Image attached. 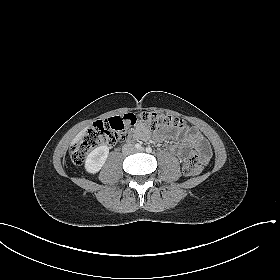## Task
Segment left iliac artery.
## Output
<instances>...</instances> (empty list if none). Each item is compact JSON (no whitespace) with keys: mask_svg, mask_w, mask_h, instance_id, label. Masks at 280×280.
<instances>
[{"mask_svg":"<svg viewBox=\"0 0 280 280\" xmlns=\"http://www.w3.org/2000/svg\"><path fill=\"white\" fill-rule=\"evenodd\" d=\"M146 152L151 153L152 152V148L151 147H147L146 148Z\"/></svg>","mask_w":280,"mask_h":280,"instance_id":"44dca946","label":"left iliac artery"}]
</instances>
